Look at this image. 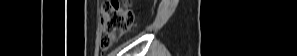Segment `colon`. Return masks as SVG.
Wrapping results in <instances>:
<instances>
[{
	"label": "colon",
	"mask_w": 297,
	"mask_h": 56,
	"mask_svg": "<svg viewBox=\"0 0 297 56\" xmlns=\"http://www.w3.org/2000/svg\"><path fill=\"white\" fill-rule=\"evenodd\" d=\"M129 4L118 0H108L102 4L100 10L102 51L108 50L132 26L134 12Z\"/></svg>",
	"instance_id": "5ec220e1"
}]
</instances>
